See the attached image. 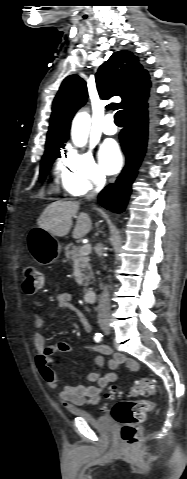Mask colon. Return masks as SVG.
I'll use <instances>...</instances> for the list:
<instances>
[{
	"label": "colon",
	"instance_id": "5ec220e1",
	"mask_svg": "<svg viewBox=\"0 0 187 479\" xmlns=\"http://www.w3.org/2000/svg\"><path fill=\"white\" fill-rule=\"evenodd\" d=\"M23 290L26 294H34L44 286L43 273L33 266L22 269ZM156 382L151 378L139 380L132 388L133 395H153L156 393ZM121 394L115 387L107 390L106 396L112 399ZM154 404L148 400L120 399L113 407L111 415L121 425L120 435L127 446H134L142 434V423L146 413L153 410Z\"/></svg>",
	"mask_w": 187,
	"mask_h": 479
}]
</instances>
